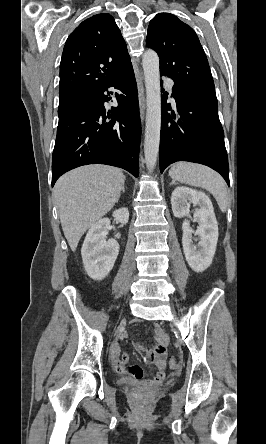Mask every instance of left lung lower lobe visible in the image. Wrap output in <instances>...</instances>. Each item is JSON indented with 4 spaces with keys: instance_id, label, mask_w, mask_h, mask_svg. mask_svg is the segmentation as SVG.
I'll list each match as a JSON object with an SVG mask.
<instances>
[{
    "instance_id": "left-lung-lower-lobe-1",
    "label": "left lung lower lobe",
    "mask_w": 266,
    "mask_h": 444,
    "mask_svg": "<svg viewBox=\"0 0 266 444\" xmlns=\"http://www.w3.org/2000/svg\"><path fill=\"white\" fill-rule=\"evenodd\" d=\"M161 88L164 90L162 84ZM172 91L177 113H167L171 105L162 97L160 171L176 161L200 163L219 172L229 185L228 156L214 86L175 83Z\"/></svg>"
}]
</instances>
